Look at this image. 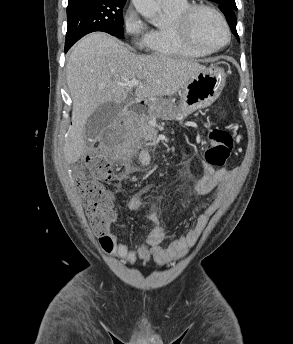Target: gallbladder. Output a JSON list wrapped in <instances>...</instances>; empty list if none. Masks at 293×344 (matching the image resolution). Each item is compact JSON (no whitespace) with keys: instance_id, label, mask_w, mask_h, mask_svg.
Returning a JSON list of instances; mask_svg holds the SVG:
<instances>
[{"instance_id":"1","label":"gallbladder","mask_w":293,"mask_h":344,"mask_svg":"<svg viewBox=\"0 0 293 344\" xmlns=\"http://www.w3.org/2000/svg\"><path fill=\"white\" fill-rule=\"evenodd\" d=\"M120 109V105L115 102L100 105L86 121L85 138L96 139L105 128L112 125Z\"/></svg>"}]
</instances>
